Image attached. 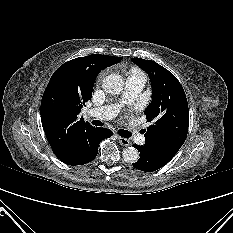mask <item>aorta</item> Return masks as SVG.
<instances>
[{
	"instance_id": "762f6f07",
	"label": "aorta",
	"mask_w": 233,
	"mask_h": 233,
	"mask_svg": "<svg viewBox=\"0 0 233 233\" xmlns=\"http://www.w3.org/2000/svg\"><path fill=\"white\" fill-rule=\"evenodd\" d=\"M102 87L109 94H119L124 87L123 77L119 74H110L103 79ZM122 156L125 162L135 163L139 159V152L134 147H127L123 150Z\"/></svg>"
}]
</instances>
